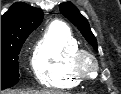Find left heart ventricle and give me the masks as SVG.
I'll list each match as a JSON object with an SVG mask.
<instances>
[{"label":"left heart ventricle","mask_w":121,"mask_h":94,"mask_svg":"<svg viewBox=\"0 0 121 94\" xmlns=\"http://www.w3.org/2000/svg\"><path fill=\"white\" fill-rule=\"evenodd\" d=\"M84 67H85L86 70H90L92 68L91 62L86 61L85 64H84Z\"/></svg>","instance_id":"b2bd125f"}]
</instances>
